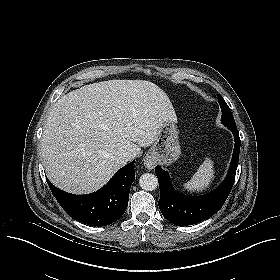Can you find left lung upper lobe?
I'll use <instances>...</instances> for the list:
<instances>
[{
  "mask_svg": "<svg viewBox=\"0 0 280 280\" xmlns=\"http://www.w3.org/2000/svg\"><path fill=\"white\" fill-rule=\"evenodd\" d=\"M218 103L220 104L222 116L221 122L228 128H237L234 117L229 109V106L226 104L224 99L218 95Z\"/></svg>",
  "mask_w": 280,
  "mask_h": 280,
  "instance_id": "left-lung-upper-lobe-1",
  "label": "left lung upper lobe"
}]
</instances>
